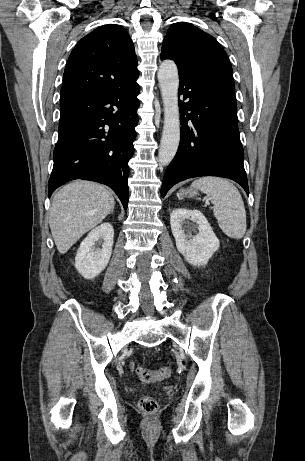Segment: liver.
Here are the masks:
<instances>
[{"label":"liver","instance_id":"liver-1","mask_svg":"<svg viewBox=\"0 0 305 461\" xmlns=\"http://www.w3.org/2000/svg\"><path fill=\"white\" fill-rule=\"evenodd\" d=\"M112 194L104 186L75 181L53 197L49 225L59 253H66L80 237L96 227L114 209Z\"/></svg>","mask_w":305,"mask_h":461}]
</instances>
